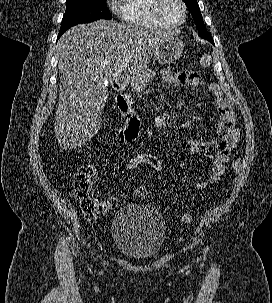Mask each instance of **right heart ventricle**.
Returning <instances> with one entry per match:
<instances>
[{
    "label": "right heart ventricle",
    "instance_id": "right-heart-ventricle-1",
    "mask_svg": "<svg viewBox=\"0 0 272 303\" xmlns=\"http://www.w3.org/2000/svg\"><path fill=\"white\" fill-rule=\"evenodd\" d=\"M154 0H121L122 19L133 26L161 29L162 25L153 15Z\"/></svg>",
    "mask_w": 272,
    "mask_h": 303
}]
</instances>
